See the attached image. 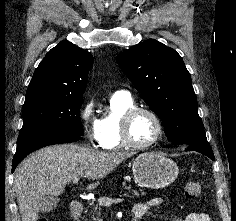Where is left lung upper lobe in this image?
Instances as JSON below:
<instances>
[{"instance_id": "5c2ea615", "label": "left lung upper lobe", "mask_w": 236, "mask_h": 221, "mask_svg": "<svg viewBox=\"0 0 236 221\" xmlns=\"http://www.w3.org/2000/svg\"><path fill=\"white\" fill-rule=\"evenodd\" d=\"M117 61L160 117L172 143L186 146L208 142L198 115L191 75L174 49L148 39L120 53Z\"/></svg>"}]
</instances>
